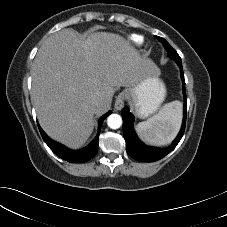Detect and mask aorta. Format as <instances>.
<instances>
[{"instance_id":"obj_1","label":"aorta","mask_w":227,"mask_h":227,"mask_svg":"<svg viewBox=\"0 0 227 227\" xmlns=\"http://www.w3.org/2000/svg\"><path fill=\"white\" fill-rule=\"evenodd\" d=\"M107 124L111 129H118L122 125V117L118 114H111L107 119Z\"/></svg>"}]
</instances>
